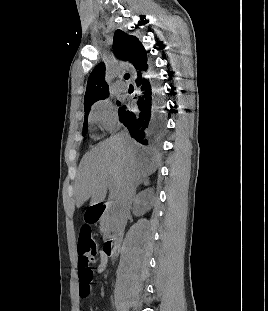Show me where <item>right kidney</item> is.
<instances>
[{
  "mask_svg": "<svg viewBox=\"0 0 268 311\" xmlns=\"http://www.w3.org/2000/svg\"><path fill=\"white\" fill-rule=\"evenodd\" d=\"M153 194V188H148L138 194L134 202L135 215L141 216L151 209L154 200Z\"/></svg>",
  "mask_w": 268,
  "mask_h": 311,
  "instance_id": "right-kidney-1",
  "label": "right kidney"
}]
</instances>
